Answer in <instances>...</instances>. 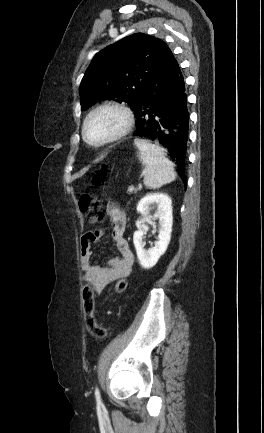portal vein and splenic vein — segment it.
<instances>
[{
  "instance_id": "18ae733b",
  "label": "portal vein and splenic vein",
  "mask_w": 264,
  "mask_h": 433,
  "mask_svg": "<svg viewBox=\"0 0 264 433\" xmlns=\"http://www.w3.org/2000/svg\"><path fill=\"white\" fill-rule=\"evenodd\" d=\"M134 189H135V188H134L133 186H130V187L128 188V192H129V193H132V192L134 191Z\"/></svg>"
}]
</instances>
